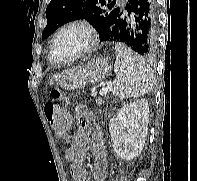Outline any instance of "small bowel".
Segmentation results:
<instances>
[{
	"label": "small bowel",
	"instance_id": "1",
	"mask_svg": "<svg viewBox=\"0 0 197 181\" xmlns=\"http://www.w3.org/2000/svg\"><path fill=\"white\" fill-rule=\"evenodd\" d=\"M78 124L77 133L65 135L67 147L65 159L71 165L72 181H104L107 173V152L101 129L94 115L87 107L80 105L75 109ZM88 151L93 157L91 176L84 167Z\"/></svg>",
	"mask_w": 197,
	"mask_h": 181
}]
</instances>
